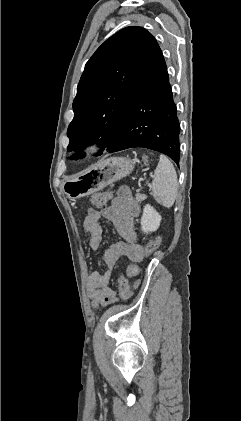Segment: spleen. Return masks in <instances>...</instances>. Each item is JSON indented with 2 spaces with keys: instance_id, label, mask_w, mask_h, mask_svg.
I'll return each mask as SVG.
<instances>
[{
  "instance_id": "obj_1",
  "label": "spleen",
  "mask_w": 241,
  "mask_h": 421,
  "mask_svg": "<svg viewBox=\"0 0 241 421\" xmlns=\"http://www.w3.org/2000/svg\"><path fill=\"white\" fill-rule=\"evenodd\" d=\"M177 190L178 180L175 168L166 156L160 155L152 182L153 197L162 206L170 208L176 200Z\"/></svg>"
}]
</instances>
